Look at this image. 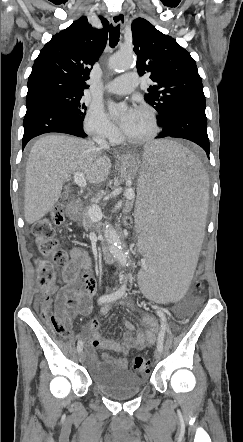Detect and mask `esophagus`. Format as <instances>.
Segmentation results:
<instances>
[{
    "label": "esophagus",
    "instance_id": "34e87169",
    "mask_svg": "<svg viewBox=\"0 0 243 442\" xmlns=\"http://www.w3.org/2000/svg\"><path fill=\"white\" fill-rule=\"evenodd\" d=\"M125 15L123 12H117L112 15V23L114 26L120 25L123 27L125 25Z\"/></svg>",
    "mask_w": 243,
    "mask_h": 442
}]
</instances>
